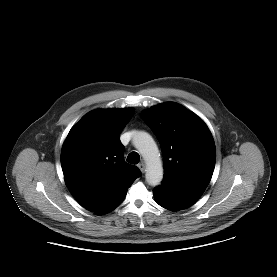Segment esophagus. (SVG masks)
<instances>
[{"label":"esophagus","instance_id":"1","mask_svg":"<svg viewBox=\"0 0 277 277\" xmlns=\"http://www.w3.org/2000/svg\"><path fill=\"white\" fill-rule=\"evenodd\" d=\"M138 168L140 169V171L142 172V173H144L145 172V164L143 163V162H141L140 164H138Z\"/></svg>","mask_w":277,"mask_h":277}]
</instances>
